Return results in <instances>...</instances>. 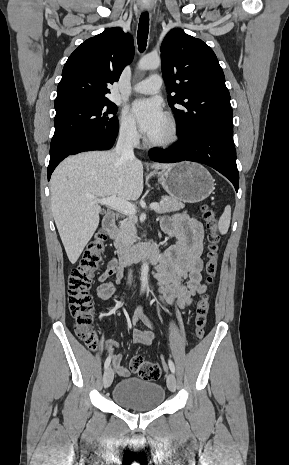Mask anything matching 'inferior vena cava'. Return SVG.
Segmentation results:
<instances>
[{
	"mask_svg": "<svg viewBox=\"0 0 289 465\" xmlns=\"http://www.w3.org/2000/svg\"><path fill=\"white\" fill-rule=\"evenodd\" d=\"M137 137L134 127L121 131L115 147V153L122 157L135 158L133 144Z\"/></svg>",
	"mask_w": 289,
	"mask_h": 465,
	"instance_id": "inferior-vena-cava-1",
	"label": "inferior vena cava"
}]
</instances>
